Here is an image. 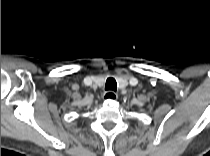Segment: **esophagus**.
Instances as JSON below:
<instances>
[{
  "label": "esophagus",
  "instance_id": "obj_1",
  "mask_svg": "<svg viewBox=\"0 0 210 156\" xmlns=\"http://www.w3.org/2000/svg\"><path fill=\"white\" fill-rule=\"evenodd\" d=\"M118 98L117 93L113 92V91H107L103 94V99L104 100H116Z\"/></svg>",
  "mask_w": 210,
  "mask_h": 156
}]
</instances>
